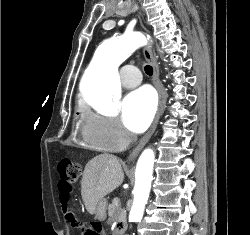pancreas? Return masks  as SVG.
I'll use <instances>...</instances> for the list:
<instances>
[{"instance_id": "pancreas-1", "label": "pancreas", "mask_w": 250, "mask_h": 235, "mask_svg": "<svg viewBox=\"0 0 250 235\" xmlns=\"http://www.w3.org/2000/svg\"><path fill=\"white\" fill-rule=\"evenodd\" d=\"M109 221L117 222L124 221L126 218L125 211L121 208V203L118 198H114L108 207Z\"/></svg>"}]
</instances>
